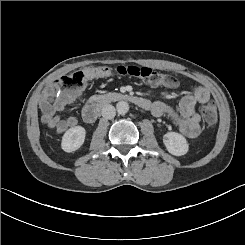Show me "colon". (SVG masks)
<instances>
[{
  "label": "colon",
  "instance_id": "1",
  "mask_svg": "<svg viewBox=\"0 0 245 245\" xmlns=\"http://www.w3.org/2000/svg\"><path fill=\"white\" fill-rule=\"evenodd\" d=\"M112 75L134 77L152 86L171 87L175 83L173 78L161 71L149 67L130 65L118 66L114 69L109 67L81 68L57 80L53 84V88L58 93L75 94L84 89L90 80ZM200 111L208 125L216 123L217 111L212 103L203 104Z\"/></svg>",
  "mask_w": 245,
  "mask_h": 245
}]
</instances>
